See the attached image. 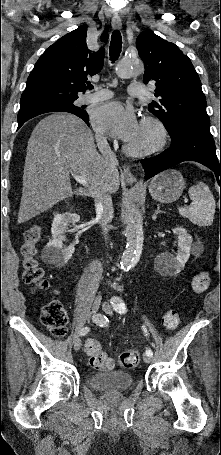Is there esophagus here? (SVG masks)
<instances>
[{
	"mask_svg": "<svg viewBox=\"0 0 221 455\" xmlns=\"http://www.w3.org/2000/svg\"><path fill=\"white\" fill-rule=\"evenodd\" d=\"M113 29H120L122 26V21L120 16L114 15L111 21ZM123 178L126 180L128 183H134L136 181L135 176L131 173L130 168L128 165L123 166Z\"/></svg>",
	"mask_w": 221,
	"mask_h": 455,
	"instance_id": "obj_1",
	"label": "esophagus"
}]
</instances>
